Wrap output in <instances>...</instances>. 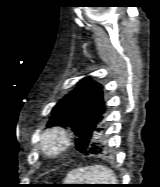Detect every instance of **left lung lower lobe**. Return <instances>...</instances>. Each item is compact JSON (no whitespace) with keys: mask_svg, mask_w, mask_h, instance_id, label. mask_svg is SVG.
Segmentation results:
<instances>
[{"mask_svg":"<svg viewBox=\"0 0 160 187\" xmlns=\"http://www.w3.org/2000/svg\"><path fill=\"white\" fill-rule=\"evenodd\" d=\"M102 119H103V116L94 131V135L91 139V141H92L91 147L89 150L86 151V153H100L105 148V145H103L102 142L99 140V138H97L98 137L97 133L102 130V128L100 127V123H101Z\"/></svg>","mask_w":160,"mask_h":187,"instance_id":"1","label":"left lung lower lobe"}]
</instances>
